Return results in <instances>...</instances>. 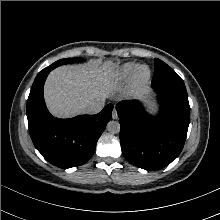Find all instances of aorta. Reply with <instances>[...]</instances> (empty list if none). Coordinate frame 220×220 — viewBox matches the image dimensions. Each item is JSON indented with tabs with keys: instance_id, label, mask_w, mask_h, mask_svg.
<instances>
[{
	"instance_id": "762f6f07",
	"label": "aorta",
	"mask_w": 220,
	"mask_h": 220,
	"mask_svg": "<svg viewBox=\"0 0 220 220\" xmlns=\"http://www.w3.org/2000/svg\"><path fill=\"white\" fill-rule=\"evenodd\" d=\"M107 130L112 134H117L120 131V124L118 121H110L107 124Z\"/></svg>"
}]
</instances>
